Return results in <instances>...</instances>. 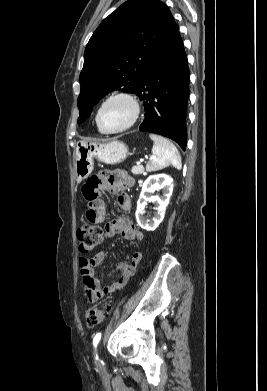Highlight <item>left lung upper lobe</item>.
I'll use <instances>...</instances> for the list:
<instances>
[{
	"instance_id": "left-lung-upper-lobe-1",
	"label": "left lung upper lobe",
	"mask_w": 267,
	"mask_h": 391,
	"mask_svg": "<svg viewBox=\"0 0 267 391\" xmlns=\"http://www.w3.org/2000/svg\"><path fill=\"white\" fill-rule=\"evenodd\" d=\"M178 29L169 8L158 0H128L105 18L85 49L78 124L109 92L135 93L154 57Z\"/></svg>"
}]
</instances>
